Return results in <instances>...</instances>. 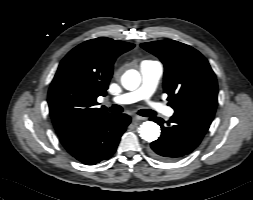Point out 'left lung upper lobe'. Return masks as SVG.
I'll return each instance as SVG.
<instances>
[{
    "mask_svg": "<svg viewBox=\"0 0 253 200\" xmlns=\"http://www.w3.org/2000/svg\"><path fill=\"white\" fill-rule=\"evenodd\" d=\"M141 47L163 62V88L175 113L211 124L218 87L206 58L191 46L174 40L142 43Z\"/></svg>",
    "mask_w": 253,
    "mask_h": 200,
    "instance_id": "5c2ea615",
    "label": "left lung upper lobe"
}]
</instances>
